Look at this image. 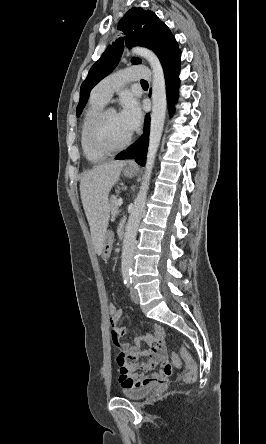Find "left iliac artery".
Returning a JSON list of instances; mask_svg holds the SVG:
<instances>
[{"mask_svg": "<svg viewBox=\"0 0 266 444\" xmlns=\"http://www.w3.org/2000/svg\"><path fill=\"white\" fill-rule=\"evenodd\" d=\"M124 283L126 284L127 287L130 286V284L132 283V279H131V274H124Z\"/></svg>", "mask_w": 266, "mask_h": 444, "instance_id": "obj_1", "label": "left iliac artery"}]
</instances>
